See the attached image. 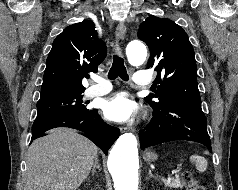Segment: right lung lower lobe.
Wrapping results in <instances>:
<instances>
[{"label": "right lung lower lobe", "mask_w": 238, "mask_h": 190, "mask_svg": "<svg viewBox=\"0 0 238 190\" xmlns=\"http://www.w3.org/2000/svg\"><path fill=\"white\" fill-rule=\"evenodd\" d=\"M55 127H70L84 132L85 136L106 154L119 137V129L103 122L98 111L94 109L36 118L32 126L31 140L41 137L45 131Z\"/></svg>", "instance_id": "98d812e1"}]
</instances>
